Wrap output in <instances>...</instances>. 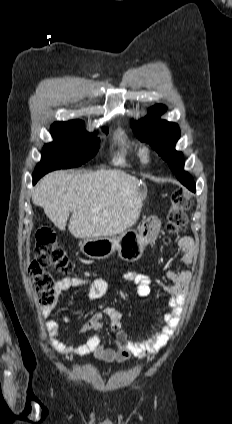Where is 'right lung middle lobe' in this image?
Wrapping results in <instances>:
<instances>
[{
  "instance_id": "right-lung-middle-lobe-1",
  "label": "right lung middle lobe",
  "mask_w": 232,
  "mask_h": 424,
  "mask_svg": "<svg viewBox=\"0 0 232 424\" xmlns=\"http://www.w3.org/2000/svg\"><path fill=\"white\" fill-rule=\"evenodd\" d=\"M80 120L55 122L50 128L53 142L43 148L41 162L35 168L34 177L60 168L80 166L97 153L99 138L83 129ZM103 131L107 134L106 128Z\"/></svg>"
}]
</instances>
